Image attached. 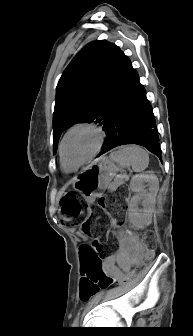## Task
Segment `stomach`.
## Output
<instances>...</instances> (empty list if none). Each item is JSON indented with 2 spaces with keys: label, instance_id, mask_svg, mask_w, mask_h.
<instances>
[{
  "label": "stomach",
  "instance_id": "stomach-1",
  "mask_svg": "<svg viewBox=\"0 0 193 336\" xmlns=\"http://www.w3.org/2000/svg\"><path fill=\"white\" fill-rule=\"evenodd\" d=\"M116 172L117 167L112 160L109 158L98 159L82 169L74 180L73 188L88 203H92L102 191L110 187Z\"/></svg>",
  "mask_w": 193,
  "mask_h": 336
}]
</instances>
